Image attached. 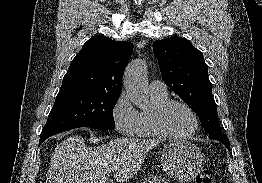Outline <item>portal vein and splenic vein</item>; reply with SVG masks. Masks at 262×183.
Returning <instances> with one entry per match:
<instances>
[{
	"mask_svg": "<svg viewBox=\"0 0 262 183\" xmlns=\"http://www.w3.org/2000/svg\"><path fill=\"white\" fill-rule=\"evenodd\" d=\"M112 172H113L112 170H109V171H108V174H111Z\"/></svg>",
	"mask_w": 262,
	"mask_h": 183,
	"instance_id": "obj_1",
	"label": "portal vein and splenic vein"
}]
</instances>
